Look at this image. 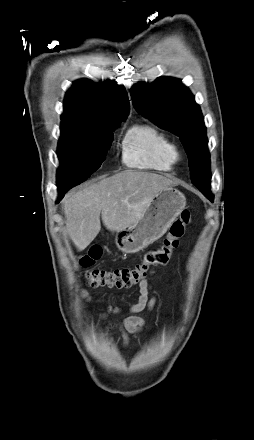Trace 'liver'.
<instances>
[{
  "instance_id": "1",
  "label": "liver",
  "mask_w": 254,
  "mask_h": 440,
  "mask_svg": "<svg viewBox=\"0 0 254 440\" xmlns=\"http://www.w3.org/2000/svg\"><path fill=\"white\" fill-rule=\"evenodd\" d=\"M175 183L155 173L126 170L64 199L66 230L76 248L84 250L101 230L100 215L110 231L135 224L152 198Z\"/></svg>"
}]
</instances>
